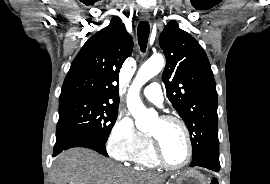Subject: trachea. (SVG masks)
<instances>
[{
	"instance_id": "obj_1",
	"label": "trachea",
	"mask_w": 270,
	"mask_h": 184,
	"mask_svg": "<svg viewBox=\"0 0 270 184\" xmlns=\"http://www.w3.org/2000/svg\"><path fill=\"white\" fill-rule=\"evenodd\" d=\"M150 32V26L148 22L141 21L138 25L137 36L138 43L142 52H145Z\"/></svg>"
}]
</instances>
